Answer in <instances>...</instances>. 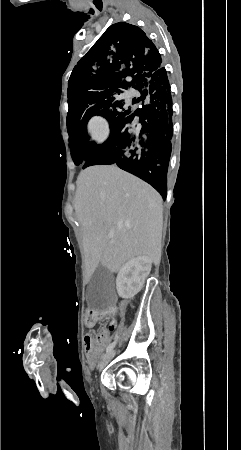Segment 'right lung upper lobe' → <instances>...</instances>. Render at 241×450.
<instances>
[{
	"instance_id": "right-lung-upper-lobe-1",
	"label": "right lung upper lobe",
	"mask_w": 241,
	"mask_h": 450,
	"mask_svg": "<svg viewBox=\"0 0 241 450\" xmlns=\"http://www.w3.org/2000/svg\"><path fill=\"white\" fill-rule=\"evenodd\" d=\"M162 67L154 43L137 26L111 25L72 71L73 76L97 86L141 92V77Z\"/></svg>"
}]
</instances>
